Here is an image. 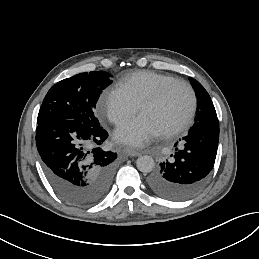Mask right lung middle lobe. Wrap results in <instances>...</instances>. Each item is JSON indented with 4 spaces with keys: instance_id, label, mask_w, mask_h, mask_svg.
Returning a JSON list of instances; mask_svg holds the SVG:
<instances>
[{
    "instance_id": "right-lung-middle-lobe-1",
    "label": "right lung middle lobe",
    "mask_w": 259,
    "mask_h": 259,
    "mask_svg": "<svg viewBox=\"0 0 259 259\" xmlns=\"http://www.w3.org/2000/svg\"><path fill=\"white\" fill-rule=\"evenodd\" d=\"M105 71L80 73L50 88L37 118L41 125L51 120L67 119L87 125H100L94 108L102 90L112 83Z\"/></svg>"
}]
</instances>
